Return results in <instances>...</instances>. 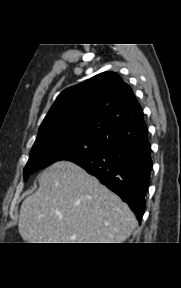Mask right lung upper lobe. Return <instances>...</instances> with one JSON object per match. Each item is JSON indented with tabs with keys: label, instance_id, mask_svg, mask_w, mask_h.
Wrapping results in <instances>:
<instances>
[{
	"label": "right lung upper lobe",
	"instance_id": "1",
	"mask_svg": "<svg viewBox=\"0 0 181 288\" xmlns=\"http://www.w3.org/2000/svg\"><path fill=\"white\" fill-rule=\"evenodd\" d=\"M144 114L132 89L111 71L65 89L43 120L36 139L81 136L106 148L148 140Z\"/></svg>",
	"mask_w": 181,
	"mask_h": 288
}]
</instances>
